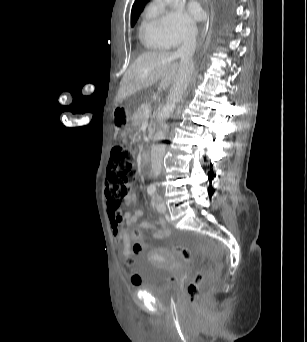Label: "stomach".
I'll list each match as a JSON object with an SVG mask.
<instances>
[{"instance_id": "1", "label": "stomach", "mask_w": 307, "mask_h": 342, "mask_svg": "<svg viewBox=\"0 0 307 342\" xmlns=\"http://www.w3.org/2000/svg\"><path fill=\"white\" fill-rule=\"evenodd\" d=\"M114 120L122 128H126L130 120L129 112L126 109L117 107L114 110Z\"/></svg>"}]
</instances>
